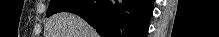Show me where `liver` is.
I'll return each instance as SVG.
<instances>
[{"label": "liver", "mask_w": 219, "mask_h": 37, "mask_svg": "<svg viewBox=\"0 0 219 37\" xmlns=\"http://www.w3.org/2000/svg\"><path fill=\"white\" fill-rule=\"evenodd\" d=\"M46 35L45 37H98L86 21L69 12L53 15L48 21Z\"/></svg>", "instance_id": "1"}]
</instances>
